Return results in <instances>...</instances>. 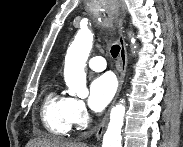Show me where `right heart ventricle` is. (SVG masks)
Listing matches in <instances>:
<instances>
[{
    "label": "right heart ventricle",
    "instance_id": "right-heart-ventricle-1",
    "mask_svg": "<svg viewBox=\"0 0 183 147\" xmlns=\"http://www.w3.org/2000/svg\"><path fill=\"white\" fill-rule=\"evenodd\" d=\"M71 106V97L55 90L50 91L44 98L41 108V117L45 129L56 136L68 135L73 126Z\"/></svg>",
    "mask_w": 183,
    "mask_h": 147
}]
</instances>
